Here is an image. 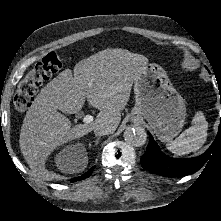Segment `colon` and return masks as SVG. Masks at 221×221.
<instances>
[{
	"mask_svg": "<svg viewBox=\"0 0 221 221\" xmlns=\"http://www.w3.org/2000/svg\"><path fill=\"white\" fill-rule=\"evenodd\" d=\"M66 58L56 54H47L18 84L13 104L18 113L26 111L33 103L35 95L45 81L61 70Z\"/></svg>",
	"mask_w": 221,
	"mask_h": 221,
	"instance_id": "colon-1",
	"label": "colon"
}]
</instances>
